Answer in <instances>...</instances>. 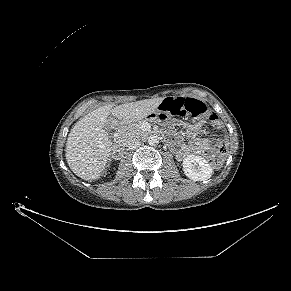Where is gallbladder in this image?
<instances>
[{"instance_id":"1","label":"gallbladder","mask_w":291,"mask_h":291,"mask_svg":"<svg viewBox=\"0 0 291 291\" xmlns=\"http://www.w3.org/2000/svg\"><path fill=\"white\" fill-rule=\"evenodd\" d=\"M118 125H119V122L115 117L110 116L107 118L105 122V130L108 132L110 137L114 135Z\"/></svg>"}]
</instances>
